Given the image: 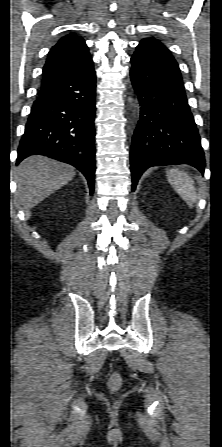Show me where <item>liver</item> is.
Masks as SVG:
<instances>
[{
	"label": "liver",
	"instance_id": "obj_1",
	"mask_svg": "<svg viewBox=\"0 0 222 447\" xmlns=\"http://www.w3.org/2000/svg\"><path fill=\"white\" fill-rule=\"evenodd\" d=\"M74 176L71 165L40 155L28 157L17 168V197L24 210L29 211Z\"/></svg>",
	"mask_w": 222,
	"mask_h": 447
}]
</instances>
